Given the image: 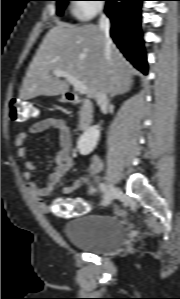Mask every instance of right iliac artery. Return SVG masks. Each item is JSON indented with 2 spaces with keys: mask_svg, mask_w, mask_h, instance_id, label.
Returning a JSON list of instances; mask_svg holds the SVG:
<instances>
[{
  "mask_svg": "<svg viewBox=\"0 0 180 299\" xmlns=\"http://www.w3.org/2000/svg\"><path fill=\"white\" fill-rule=\"evenodd\" d=\"M100 190H101V192H103V193L106 194V192H107V188H106V185H105L104 183H101V184H100Z\"/></svg>",
  "mask_w": 180,
  "mask_h": 299,
  "instance_id": "82829eb1",
  "label": "right iliac artery"
}]
</instances>
